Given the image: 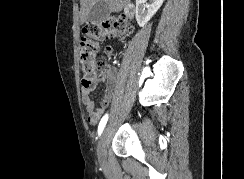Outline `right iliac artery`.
Instances as JSON below:
<instances>
[{"label":"right iliac artery","mask_w":244,"mask_h":179,"mask_svg":"<svg viewBox=\"0 0 244 179\" xmlns=\"http://www.w3.org/2000/svg\"><path fill=\"white\" fill-rule=\"evenodd\" d=\"M107 120H108V114H105L103 116V118L101 119L100 123H99V126H98V134L101 135L106 123H107Z\"/></svg>","instance_id":"82829eb1"}]
</instances>
